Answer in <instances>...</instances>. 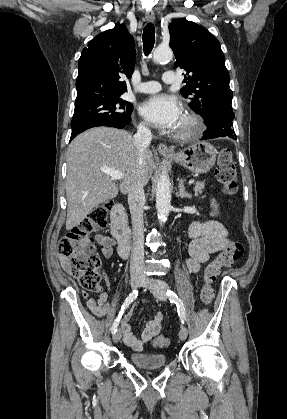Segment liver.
<instances>
[{
	"label": "liver",
	"mask_w": 287,
	"mask_h": 419,
	"mask_svg": "<svg viewBox=\"0 0 287 419\" xmlns=\"http://www.w3.org/2000/svg\"><path fill=\"white\" fill-rule=\"evenodd\" d=\"M138 150L131 134L110 127H95L79 134L67 151L66 229L78 226L98 205L129 192L138 166ZM102 169L123 174L115 183ZM154 158L149 149L139 173L143 186L153 174Z\"/></svg>",
	"instance_id": "obj_1"
}]
</instances>
